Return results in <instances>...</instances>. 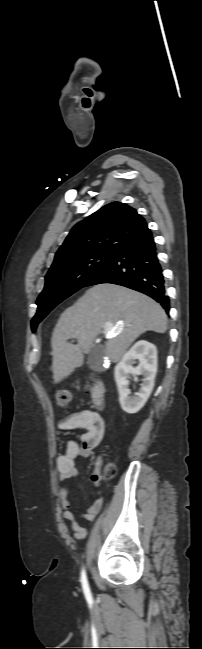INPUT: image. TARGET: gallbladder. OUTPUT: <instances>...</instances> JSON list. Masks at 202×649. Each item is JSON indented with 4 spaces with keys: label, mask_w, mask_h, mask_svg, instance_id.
<instances>
[{
    "label": "gallbladder",
    "mask_w": 202,
    "mask_h": 649,
    "mask_svg": "<svg viewBox=\"0 0 202 649\" xmlns=\"http://www.w3.org/2000/svg\"><path fill=\"white\" fill-rule=\"evenodd\" d=\"M87 363L91 369L101 370L103 363V352L96 348H92L88 353Z\"/></svg>",
    "instance_id": "1"
}]
</instances>
